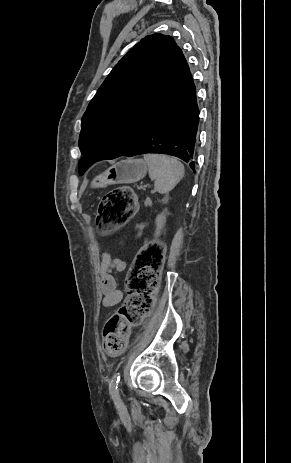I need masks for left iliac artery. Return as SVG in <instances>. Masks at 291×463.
<instances>
[{
	"mask_svg": "<svg viewBox=\"0 0 291 463\" xmlns=\"http://www.w3.org/2000/svg\"><path fill=\"white\" fill-rule=\"evenodd\" d=\"M119 382H120V373L117 372L112 377V380H111L110 385H109L110 394L112 395V398L114 400L117 398V395H118V384H119Z\"/></svg>",
	"mask_w": 291,
	"mask_h": 463,
	"instance_id": "obj_1",
	"label": "left iliac artery"
}]
</instances>
